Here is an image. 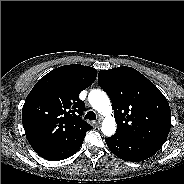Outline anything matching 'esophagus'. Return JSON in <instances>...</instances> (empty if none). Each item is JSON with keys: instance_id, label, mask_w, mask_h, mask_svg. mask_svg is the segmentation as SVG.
<instances>
[{"instance_id": "obj_1", "label": "esophagus", "mask_w": 184, "mask_h": 184, "mask_svg": "<svg viewBox=\"0 0 184 184\" xmlns=\"http://www.w3.org/2000/svg\"><path fill=\"white\" fill-rule=\"evenodd\" d=\"M100 123H101V118H98L96 125H100Z\"/></svg>"}]
</instances>
